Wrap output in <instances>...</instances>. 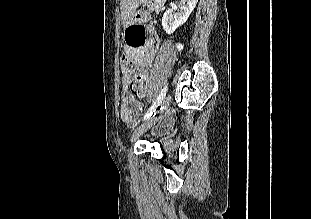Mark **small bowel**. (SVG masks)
<instances>
[{
	"label": "small bowel",
	"instance_id": "small-bowel-1",
	"mask_svg": "<svg viewBox=\"0 0 311 219\" xmlns=\"http://www.w3.org/2000/svg\"><path fill=\"white\" fill-rule=\"evenodd\" d=\"M158 45L159 39L154 35L153 31H150V36L148 38L144 37L138 44L127 42L124 47V52L127 56L133 58L139 65L146 67L153 62ZM143 76L146 78L144 73ZM129 82V76H124L122 78L120 118L124 123L134 125L137 123L143 107L141 102L136 98V94L129 90Z\"/></svg>",
	"mask_w": 311,
	"mask_h": 219
}]
</instances>
